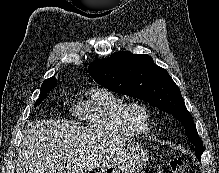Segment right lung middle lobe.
<instances>
[{
	"instance_id": "right-lung-middle-lobe-1",
	"label": "right lung middle lobe",
	"mask_w": 219,
	"mask_h": 173,
	"mask_svg": "<svg viewBox=\"0 0 219 173\" xmlns=\"http://www.w3.org/2000/svg\"><path fill=\"white\" fill-rule=\"evenodd\" d=\"M57 83H55L53 80H45L41 86V93L40 96L35 103L34 106H37L41 103V101L46 97L47 93L56 86Z\"/></svg>"
}]
</instances>
